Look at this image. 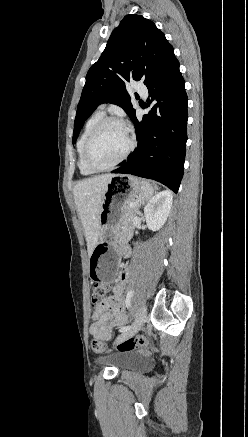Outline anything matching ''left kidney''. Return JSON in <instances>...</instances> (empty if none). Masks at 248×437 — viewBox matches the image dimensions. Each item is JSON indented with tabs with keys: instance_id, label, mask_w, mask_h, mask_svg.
I'll use <instances>...</instances> for the list:
<instances>
[{
	"instance_id": "obj_1",
	"label": "left kidney",
	"mask_w": 248,
	"mask_h": 437,
	"mask_svg": "<svg viewBox=\"0 0 248 437\" xmlns=\"http://www.w3.org/2000/svg\"><path fill=\"white\" fill-rule=\"evenodd\" d=\"M172 200V193L168 190L161 191L149 199L144 208V215L150 230L157 231L164 225L171 211Z\"/></svg>"
}]
</instances>
